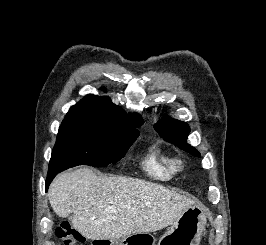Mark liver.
Segmentation results:
<instances>
[{
  "label": "liver",
  "instance_id": "1",
  "mask_svg": "<svg viewBox=\"0 0 266 245\" xmlns=\"http://www.w3.org/2000/svg\"><path fill=\"white\" fill-rule=\"evenodd\" d=\"M48 195L54 213L63 219L73 213L74 229L93 241L154 233L195 207L190 197L157 183L116 175L97 177L88 167L57 175Z\"/></svg>",
  "mask_w": 266,
  "mask_h": 245
}]
</instances>
